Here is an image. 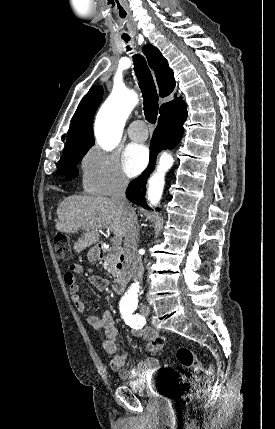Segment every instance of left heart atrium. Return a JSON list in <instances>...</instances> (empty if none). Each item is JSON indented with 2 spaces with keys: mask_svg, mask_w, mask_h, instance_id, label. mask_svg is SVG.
I'll list each match as a JSON object with an SVG mask.
<instances>
[{
  "mask_svg": "<svg viewBox=\"0 0 275 429\" xmlns=\"http://www.w3.org/2000/svg\"><path fill=\"white\" fill-rule=\"evenodd\" d=\"M149 152L140 144H130L123 153V167L130 177L138 175L147 165Z\"/></svg>",
  "mask_w": 275,
  "mask_h": 429,
  "instance_id": "1",
  "label": "left heart atrium"
}]
</instances>
